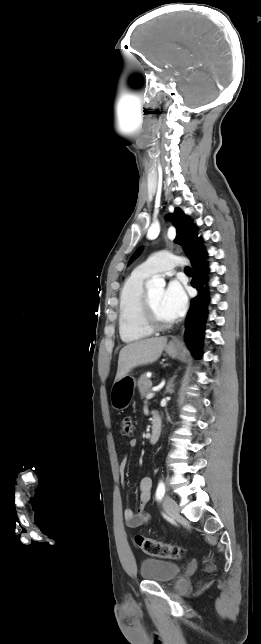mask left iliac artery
I'll return each mask as SVG.
<instances>
[{"label":"left iliac artery","mask_w":261,"mask_h":644,"mask_svg":"<svg viewBox=\"0 0 261 644\" xmlns=\"http://www.w3.org/2000/svg\"><path fill=\"white\" fill-rule=\"evenodd\" d=\"M165 494V484L163 481H160L156 490V499L161 500Z\"/></svg>","instance_id":"1"}]
</instances>
